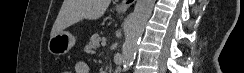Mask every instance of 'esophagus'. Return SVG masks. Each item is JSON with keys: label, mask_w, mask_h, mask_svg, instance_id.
I'll list each match as a JSON object with an SVG mask.
<instances>
[{"label": "esophagus", "mask_w": 244, "mask_h": 73, "mask_svg": "<svg viewBox=\"0 0 244 73\" xmlns=\"http://www.w3.org/2000/svg\"><path fill=\"white\" fill-rule=\"evenodd\" d=\"M136 0H123L120 4L121 10H127L132 4L135 3Z\"/></svg>", "instance_id": "esophagus-1"}]
</instances>
